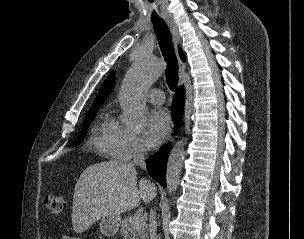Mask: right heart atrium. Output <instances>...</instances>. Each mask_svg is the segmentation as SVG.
Instances as JSON below:
<instances>
[{
	"instance_id": "1",
	"label": "right heart atrium",
	"mask_w": 304,
	"mask_h": 239,
	"mask_svg": "<svg viewBox=\"0 0 304 239\" xmlns=\"http://www.w3.org/2000/svg\"><path fill=\"white\" fill-rule=\"evenodd\" d=\"M114 155L121 160H130L144 154L146 148L135 132L118 125L111 140Z\"/></svg>"
}]
</instances>
